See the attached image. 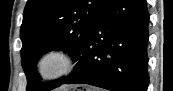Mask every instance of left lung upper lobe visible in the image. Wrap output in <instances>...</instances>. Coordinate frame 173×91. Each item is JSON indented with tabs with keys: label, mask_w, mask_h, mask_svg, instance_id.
<instances>
[{
	"label": "left lung upper lobe",
	"mask_w": 173,
	"mask_h": 91,
	"mask_svg": "<svg viewBox=\"0 0 173 91\" xmlns=\"http://www.w3.org/2000/svg\"><path fill=\"white\" fill-rule=\"evenodd\" d=\"M109 0H28L20 30L21 57L27 76V91H48L63 80L45 84L34 69L33 60L51 49H63L74 60L81 56L99 15Z\"/></svg>",
	"instance_id": "obj_1"
}]
</instances>
